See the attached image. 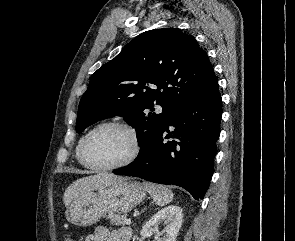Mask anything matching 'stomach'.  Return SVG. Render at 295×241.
<instances>
[{
  "label": "stomach",
  "mask_w": 295,
  "mask_h": 241,
  "mask_svg": "<svg viewBox=\"0 0 295 241\" xmlns=\"http://www.w3.org/2000/svg\"><path fill=\"white\" fill-rule=\"evenodd\" d=\"M145 197L146 189L139 182L119 180L74 198L67 207L66 219L77 226H90L106 214L131 211Z\"/></svg>",
  "instance_id": "1"
}]
</instances>
